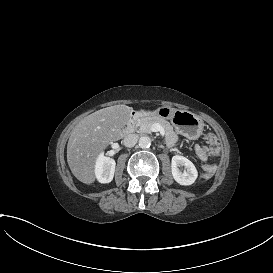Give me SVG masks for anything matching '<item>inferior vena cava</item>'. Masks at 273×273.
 Listing matches in <instances>:
<instances>
[{
	"label": "inferior vena cava",
	"mask_w": 273,
	"mask_h": 273,
	"mask_svg": "<svg viewBox=\"0 0 273 273\" xmlns=\"http://www.w3.org/2000/svg\"><path fill=\"white\" fill-rule=\"evenodd\" d=\"M138 139H139V137L137 134H129L124 138L123 144L125 147L131 148V147L135 146Z\"/></svg>",
	"instance_id": "602c4592"
}]
</instances>
